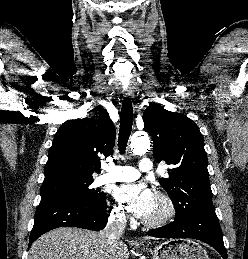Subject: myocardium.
<instances>
[{
  "mask_svg": "<svg viewBox=\"0 0 248 259\" xmlns=\"http://www.w3.org/2000/svg\"><path fill=\"white\" fill-rule=\"evenodd\" d=\"M156 198L164 204V212L161 216L155 219H143V224L148 227H160L169 223L176 215V206L172 198L165 192L156 191Z\"/></svg>",
  "mask_w": 248,
  "mask_h": 259,
  "instance_id": "1",
  "label": "myocardium"
}]
</instances>
